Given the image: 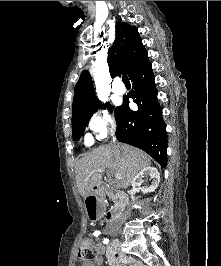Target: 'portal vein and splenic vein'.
<instances>
[{
    "label": "portal vein and splenic vein",
    "mask_w": 221,
    "mask_h": 266,
    "mask_svg": "<svg viewBox=\"0 0 221 266\" xmlns=\"http://www.w3.org/2000/svg\"><path fill=\"white\" fill-rule=\"evenodd\" d=\"M95 172L96 173H102V172H104V168H97V169H94V170L91 171V173H95ZM115 178L120 180L121 179V175L119 173H116L115 174Z\"/></svg>",
    "instance_id": "obj_1"
}]
</instances>
